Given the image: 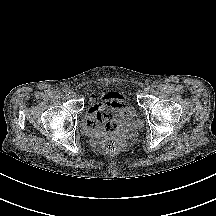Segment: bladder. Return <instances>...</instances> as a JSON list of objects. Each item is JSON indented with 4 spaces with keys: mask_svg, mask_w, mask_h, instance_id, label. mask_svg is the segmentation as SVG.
<instances>
[{
    "mask_svg": "<svg viewBox=\"0 0 216 216\" xmlns=\"http://www.w3.org/2000/svg\"><path fill=\"white\" fill-rule=\"evenodd\" d=\"M116 126L121 129L140 128V121L137 119L135 113L130 111L126 115H119L116 118Z\"/></svg>",
    "mask_w": 216,
    "mask_h": 216,
    "instance_id": "31cf9c89",
    "label": "bladder"
}]
</instances>
